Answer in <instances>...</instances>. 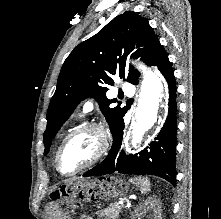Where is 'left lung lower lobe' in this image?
<instances>
[{
    "label": "left lung lower lobe",
    "mask_w": 221,
    "mask_h": 219,
    "mask_svg": "<svg viewBox=\"0 0 221 219\" xmlns=\"http://www.w3.org/2000/svg\"><path fill=\"white\" fill-rule=\"evenodd\" d=\"M149 65L157 66L168 83V116L163 128L149 147L137 154L126 155L121 149L124 121L119 122L113 135V146L105 160L83 176L122 174L156 175L176 184L175 154L177 131L176 84L171 63L162 45L155 51Z\"/></svg>",
    "instance_id": "left-lung-lower-lobe-1"
}]
</instances>
